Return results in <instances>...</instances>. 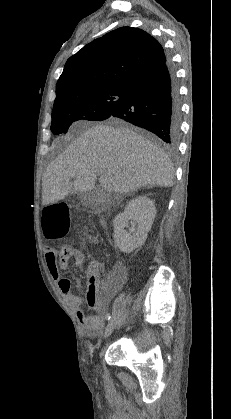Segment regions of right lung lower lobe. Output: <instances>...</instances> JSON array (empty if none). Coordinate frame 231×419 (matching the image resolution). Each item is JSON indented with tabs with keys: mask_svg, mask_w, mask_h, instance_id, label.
Segmentation results:
<instances>
[{
	"mask_svg": "<svg viewBox=\"0 0 231 419\" xmlns=\"http://www.w3.org/2000/svg\"><path fill=\"white\" fill-rule=\"evenodd\" d=\"M180 115L178 87L166 61L135 81L109 117L144 127L172 147L178 140Z\"/></svg>",
	"mask_w": 231,
	"mask_h": 419,
	"instance_id": "right-lung-lower-lobe-1",
	"label": "right lung lower lobe"
}]
</instances>
